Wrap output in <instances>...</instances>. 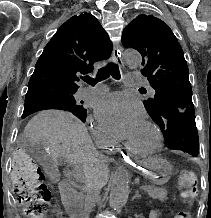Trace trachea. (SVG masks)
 <instances>
[{
  "label": "trachea",
  "instance_id": "trachea-1",
  "mask_svg": "<svg viewBox=\"0 0 211 218\" xmlns=\"http://www.w3.org/2000/svg\"><path fill=\"white\" fill-rule=\"evenodd\" d=\"M110 76H112L115 80H119L121 78L119 67L115 63H108L106 66L98 70L95 78L85 77L84 81L89 84H96L99 81L106 80Z\"/></svg>",
  "mask_w": 211,
  "mask_h": 218
}]
</instances>
